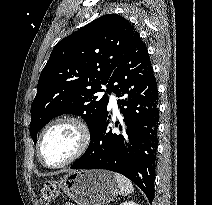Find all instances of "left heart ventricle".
Masks as SVG:
<instances>
[{"label": "left heart ventricle", "instance_id": "obj_1", "mask_svg": "<svg viewBox=\"0 0 212 205\" xmlns=\"http://www.w3.org/2000/svg\"><path fill=\"white\" fill-rule=\"evenodd\" d=\"M78 133L68 124L53 127L42 145V155L49 164H57L71 156L78 146Z\"/></svg>", "mask_w": 212, "mask_h": 205}]
</instances>
